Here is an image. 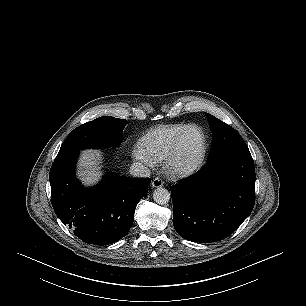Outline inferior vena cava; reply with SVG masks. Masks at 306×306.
Segmentation results:
<instances>
[{
	"mask_svg": "<svg viewBox=\"0 0 306 306\" xmlns=\"http://www.w3.org/2000/svg\"><path fill=\"white\" fill-rule=\"evenodd\" d=\"M130 174L134 177H149L150 170L141 163L135 162L130 167Z\"/></svg>",
	"mask_w": 306,
	"mask_h": 306,
	"instance_id": "602c4592",
	"label": "inferior vena cava"
}]
</instances>
